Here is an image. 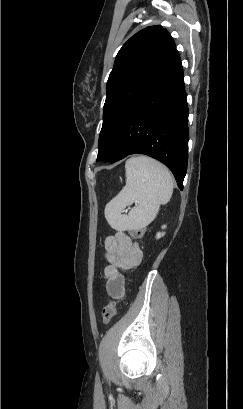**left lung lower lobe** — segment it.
Listing matches in <instances>:
<instances>
[{"label":"left lung lower lobe","mask_w":243,"mask_h":409,"mask_svg":"<svg viewBox=\"0 0 243 409\" xmlns=\"http://www.w3.org/2000/svg\"><path fill=\"white\" fill-rule=\"evenodd\" d=\"M188 114L183 68L175 50L124 118L110 163L131 154L148 155L172 171L182 190L188 161Z\"/></svg>","instance_id":"obj_1"}]
</instances>
